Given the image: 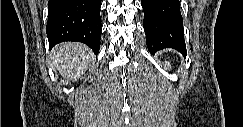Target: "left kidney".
<instances>
[{
    "label": "left kidney",
    "mask_w": 243,
    "mask_h": 127,
    "mask_svg": "<svg viewBox=\"0 0 243 127\" xmlns=\"http://www.w3.org/2000/svg\"><path fill=\"white\" fill-rule=\"evenodd\" d=\"M165 66H169V63L168 62H165Z\"/></svg>",
    "instance_id": "1"
}]
</instances>
